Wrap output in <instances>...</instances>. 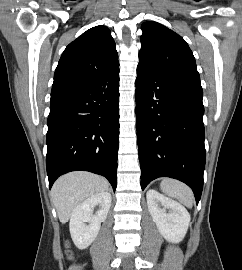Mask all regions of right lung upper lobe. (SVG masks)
<instances>
[{
  "instance_id": "right-lung-upper-lobe-1",
  "label": "right lung upper lobe",
  "mask_w": 242,
  "mask_h": 270,
  "mask_svg": "<svg viewBox=\"0 0 242 270\" xmlns=\"http://www.w3.org/2000/svg\"><path fill=\"white\" fill-rule=\"evenodd\" d=\"M119 68L110 30L96 26L71 42L61 55L54 74L51 97L57 96Z\"/></svg>"
}]
</instances>
